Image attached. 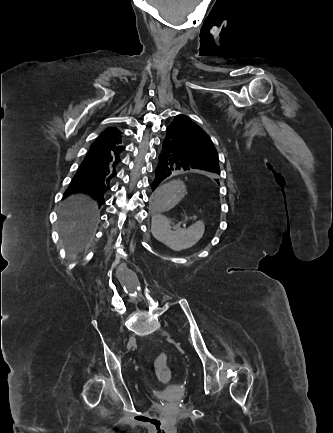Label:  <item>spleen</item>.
<instances>
[{"instance_id": "spleen-1", "label": "spleen", "mask_w": 333, "mask_h": 433, "mask_svg": "<svg viewBox=\"0 0 333 433\" xmlns=\"http://www.w3.org/2000/svg\"><path fill=\"white\" fill-rule=\"evenodd\" d=\"M204 230L203 221H197L188 228H181L175 225L171 226V220L165 215L152 216V235L156 240L174 251H181L192 247L202 238Z\"/></svg>"}]
</instances>
